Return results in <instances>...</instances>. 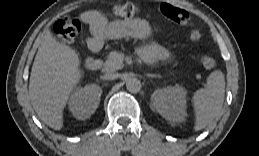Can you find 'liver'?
<instances>
[{
	"label": "liver",
	"instance_id": "liver-1",
	"mask_svg": "<svg viewBox=\"0 0 259 156\" xmlns=\"http://www.w3.org/2000/svg\"><path fill=\"white\" fill-rule=\"evenodd\" d=\"M79 66L76 51L46 29L31 69L29 97L39 119L50 128H63L64 107L82 77Z\"/></svg>",
	"mask_w": 259,
	"mask_h": 156
}]
</instances>
